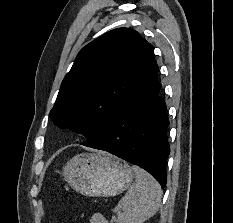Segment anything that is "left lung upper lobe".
<instances>
[{
	"instance_id": "5c2ea615",
	"label": "left lung upper lobe",
	"mask_w": 233,
	"mask_h": 223,
	"mask_svg": "<svg viewBox=\"0 0 233 223\" xmlns=\"http://www.w3.org/2000/svg\"><path fill=\"white\" fill-rule=\"evenodd\" d=\"M137 31L111 30L78 53L61 84L50 118L90 140L140 86L156 61Z\"/></svg>"
}]
</instances>
